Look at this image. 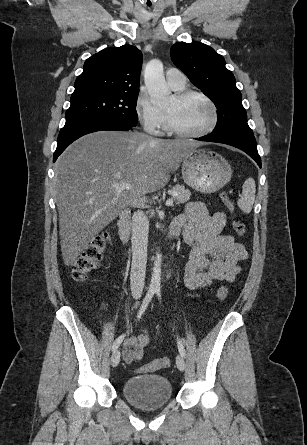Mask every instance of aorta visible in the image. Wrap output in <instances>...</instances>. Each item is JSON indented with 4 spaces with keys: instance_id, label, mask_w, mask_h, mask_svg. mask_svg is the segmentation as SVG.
Returning <instances> with one entry per match:
<instances>
[{
    "instance_id": "1",
    "label": "aorta",
    "mask_w": 307,
    "mask_h": 445,
    "mask_svg": "<svg viewBox=\"0 0 307 445\" xmlns=\"http://www.w3.org/2000/svg\"><path fill=\"white\" fill-rule=\"evenodd\" d=\"M144 82L150 94L152 104L157 106H169L172 102L171 88L167 86L164 72L163 62L158 58H152L145 66ZM162 255L157 253L153 263V271L149 285V291H160L161 275H162Z\"/></svg>"
}]
</instances>
